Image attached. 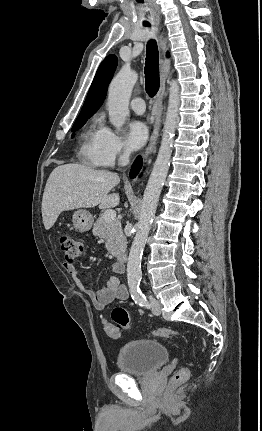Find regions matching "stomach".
<instances>
[{"mask_svg":"<svg viewBox=\"0 0 262 431\" xmlns=\"http://www.w3.org/2000/svg\"><path fill=\"white\" fill-rule=\"evenodd\" d=\"M73 225L79 232H87L93 224L91 213L84 209H79L73 213Z\"/></svg>","mask_w":262,"mask_h":431,"instance_id":"1","label":"stomach"}]
</instances>
